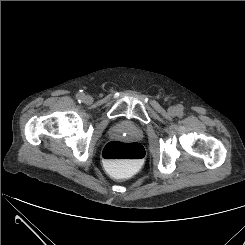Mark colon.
Here are the masks:
<instances>
[{
	"label": "colon",
	"mask_w": 245,
	"mask_h": 245,
	"mask_svg": "<svg viewBox=\"0 0 245 245\" xmlns=\"http://www.w3.org/2000/svg\"><path fill=\"white\" fill-rule=\"evenodd\" d=\"M106 168L114 176H123L128 170L138 168L145 158V151L139 143L108 142L102 152Z\"/></svg>",
	"instance_id": "colon-1"
}]
</instances>
